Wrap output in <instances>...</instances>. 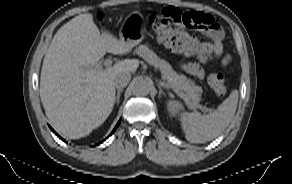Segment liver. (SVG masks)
I'll return each instance as SVG.
<instances>
[{"instance_id": "6515ba94", "label": "liver", "mask_w": 292, "mask_h": 184, "mask_svg": "<svg viewBox=\"0 0 292 184\" xmlns=\"http://www.w3.org/2000/svg\"><path fill=\"white\" fill-rule=\"evenodd\" d=\"M131 49L108 32L100 34L91 13L57 31L43 60L39 93L46 116L65 137H85L108 118L116 76L135 72L139 61L126 59L106 69L99 63L106 52L123 55Z\"/></svg>"}]
</instances>
